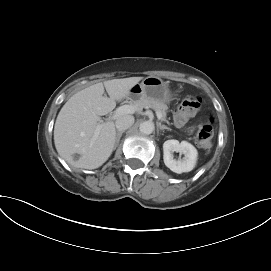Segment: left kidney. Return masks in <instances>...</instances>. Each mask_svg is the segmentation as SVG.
I'll use <instances>...</instances> for the list:
<instances>
[{"label":"left kidney","instance_id":"left-kidney-1","mask_svg":"<svg viewBox=\"0 0 271 271\" xmlns=\"http://www.w3.org/2000/svg\"><path fill=\"white\" fill-rule=\"evenodd\" d=\"M174 152L183 154V158L174 159ZM198 152L196 148L187 141L179 143L178 140H167L163 144V159L165 165L175 173L189 172L196 165Z\"/></svg>","mask_w":271,"mask_h":271}]
</instances>
